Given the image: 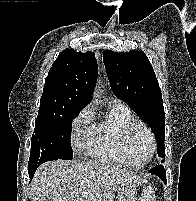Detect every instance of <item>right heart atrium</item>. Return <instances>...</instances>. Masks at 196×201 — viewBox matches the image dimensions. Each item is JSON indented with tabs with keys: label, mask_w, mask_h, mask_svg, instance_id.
Masks as SVG:
<instances>
[{
	"label": "right heart atrium",
	"mask_w": 196,
	"mask_h": 201,
	"mask_svg": "<svg viewBox=\"0 0 196 201\" xmlns=\"http://www.w3.org/2000/svg\"><path fill=\"white\" fill-rule=\"evenodd\" d=\"M93 110L84 107L73 119L71 125V140L75 151L87 149L93 131Z\"/></svg>",
	"instance_id": "1"
}]
</instances>
